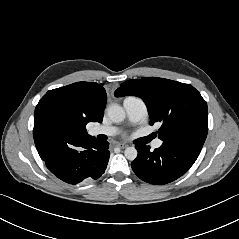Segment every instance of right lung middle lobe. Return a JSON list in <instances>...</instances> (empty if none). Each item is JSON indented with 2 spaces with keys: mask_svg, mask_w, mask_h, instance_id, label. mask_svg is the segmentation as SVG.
Here are the masks:
<instances>
[{
  "mask_svg": "<svg viewBox=\"0 0 239 239\" xmlns=\"http://www.w3.org/2000/svg\"><path fill=\"white\" fill-rule=\"evenodd\" d=\"M47 134L54 141L63 140L69 134L68 125L64 122H55L48 127Z\"/></svg>",
  "mask_w": 239,
  "mask_h": 239,
  "instance_id": "dd1d6c3e",
  "label": "right lung middle lobe"
}]
</instances>
